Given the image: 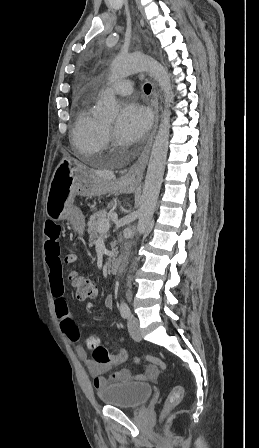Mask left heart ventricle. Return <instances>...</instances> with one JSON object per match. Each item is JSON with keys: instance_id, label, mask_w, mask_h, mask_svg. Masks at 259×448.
<instances>
[{"instance_id": "1", "label": "left heart ventricle", "mask_w": 259, "mask_h": 448, "mask_svg": "<svg viewBox=\"0 0 259 448\" xmlns=\"http://www.w3.org/2000/svg\"><path fill=\"white\" fill-rule=\"evenodd\" d=\"M108 127H110V128H113L114 127V121H112V122H108V123H105Z\"/></svg>"}]
</instances>
